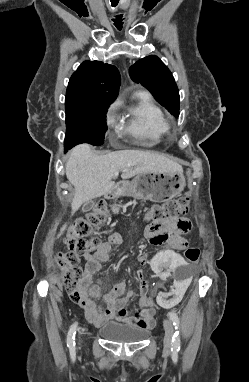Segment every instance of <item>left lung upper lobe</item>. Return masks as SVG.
I'll return each instance as SVG.
<instances>
[{
  "label": "left lung upper lobe",
  "instance_id": "1",
  "mask_svg": "<svg viewBox=\"0 0 249 382\" xmlns=\"http://www.w3.org/2000/svg\"><path fill=\"white\" fill-rule=\"evenodd\" d=\"M131 79L141 83L175 117L179 116V91L172 73L157 57L148 56L137 61L129 69Z\"/></svg>",
  "mask_w": 249,
  "mask_h": 382
}]
</instances>
